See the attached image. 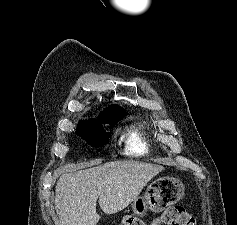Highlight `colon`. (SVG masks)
I'll return each mask as SVG.
<instances>
[{
    "mask_svg": "<svg viewBox=\"0 0 237 225\" xmlns=\"http://www.w3.org/2000/svg\"><path fill=\"white\" fill-rule=\"evenodd\" d=\"M118 225H146L145 222L136 217L128 216ZM151 225H197L194 216L189 214L182 206H172L166 209L159 217L152 221Z\"/></svg>",
    "mask_w": 237,
    "mask_h": 225,
    "instance_id": "5ec220e1",
    "label": "colon"
}]
</instances>
